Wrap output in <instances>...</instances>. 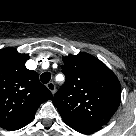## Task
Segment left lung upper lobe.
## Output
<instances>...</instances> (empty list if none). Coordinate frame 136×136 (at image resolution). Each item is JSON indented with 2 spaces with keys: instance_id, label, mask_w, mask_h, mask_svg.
<instances>
[{
  "instance_id": "5c2ea615",
  "label": "left lung upper lobe",
  "mask_w": 136,
  "mask_h": 136,
  "mask_svg": "<svg viewBox=\"0 0 136 136\" xmlns=\"http://www.w3.org/2000/svg\"><path fill=\"white\" fill-rule=\"evenodd\" d=\"M65 87L52 102L63 121L74 130L100 129L116 112L121 86L116 75L87 53L63 57Z\"/></svg>"
}]
</instances>
